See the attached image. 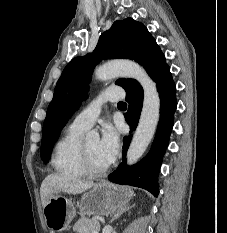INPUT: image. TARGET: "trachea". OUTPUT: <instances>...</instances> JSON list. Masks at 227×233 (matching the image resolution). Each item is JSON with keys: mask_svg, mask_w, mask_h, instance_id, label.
Returning a JSON list of instances; mask_svg holds the SVG:
<instances>
[{"mask_svg": "<svg viewBox=\"0 0 227 233\" xmlns=\"http://www.w3.org/2000/svg\"><path fill=\"white\" fill-rule=\"evenodd\" d=\"M118 106H126V103L125 102H119Z\"/></svg>", "mask_w": 227, "mask_h": 233, "instance_id": "3493384b", "label": "trachea"}]
</instances>
